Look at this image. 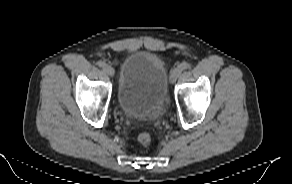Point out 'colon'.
I'll return each instance as SVG.
<instances>
[{"mask_svg": "<svg viewBox=\"0 0 292 184\" xmlns=\"http://www.w3.org/2000/svg\"><path fill=\"white\" fill-rule=\"evenodd\" d=\"M137 140L142 145H148L151 142V135L148 132H141L138 134Z\"/></svg>", "mask_w": 292, "mask_h": 184, "instance_id": "colon-1", "label": "colon"}]
</instances>
